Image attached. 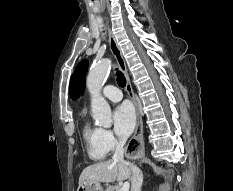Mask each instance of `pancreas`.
<instances>
[{
	"mask_svg": "<svg viewBox=\"0 0 233 191\" xmlns=\"http://www.w3.org/2000/svg\"><path fill=\"white\" fill-rule=\"evenodd\" d=\"M120 186H109L106 191H120Z\"/></svg>",
	"mask_w": 233,
	"mask_h": 191,
	"instance_id": "cf45deb5",
	"label": "pancreas"
}]
</instances>
